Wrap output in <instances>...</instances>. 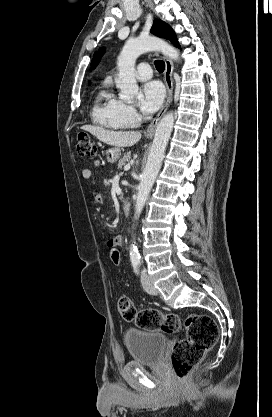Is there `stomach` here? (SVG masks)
<instances>
[{"label": "stomach", "mask_w": 272, "mask_h": 417, "mask_svg": "<svg viewBox=\"0 0 272 417\" xmlns=\"http://www.w3.org/2000/svg\"><path fill=\"white\" fill-rule=\"evenodd\" d=\"M105 154L108 162L115 163L120 158L121 149L115 146L106 150Z\"/></svg>", "instance_id": "obj_1"}]
</instances>
